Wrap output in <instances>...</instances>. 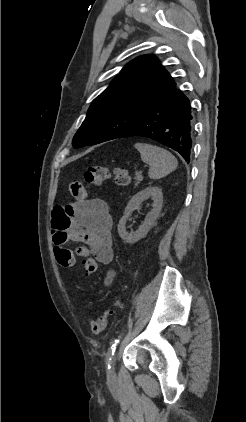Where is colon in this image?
<instances>
[{"label": "colon", "mask_w": 246, "mask_h": 422, "mask_svg": "<svg viewBox=\"0 0 246 422\" xmlns=\"http://www.w3.org/2000/svg\"><path fill=\"white\" fill-rule=\"evenodd\" d=\"M117 184L126 186L130 182V174L124 168H117L114 171ZM110 177L109 169L104 165L89 166L84 173V182L73 180L68 191L77 200H85L91 186H99ZM57 262L63 267H72L76 264V256L68 249H59L55 252ZM83 268L87 275L93 274L97 270V262L94 259H86ZM116 305V304H115ZM112 314V309H107L95 320H90V328L94 334L103 332L107 326L108 319Z\"/></svg>", "instance_id": "colon-1"}]
</instances>
